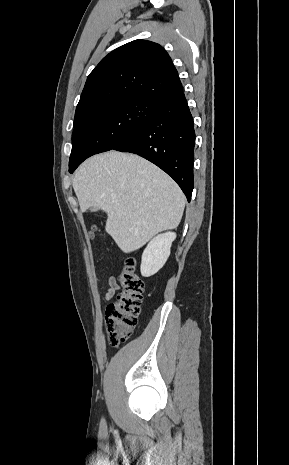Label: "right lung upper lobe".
Segmentation results:
<instances>
[{
	"mask_svg": "<svg viewBox=\"0 0 289 465\" xmlns=\"http://www.w3.org/2000/svg\"><path fill=\"white\" fill-rule=\"evenodd\" d=\"M183 91L168 53L146 40L129 42L104 57L89 74L74 125L98 109L127 100L158 102Z\"/></svg>",
	"mask_w": 289,
	"mask_h": 465,
	"instance_id": "obj_1",
	"label": "right lung upper lobe"
}]
</instances>
